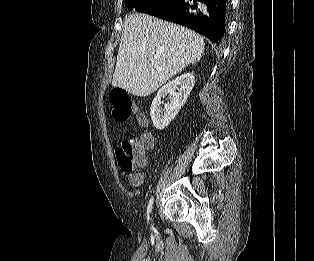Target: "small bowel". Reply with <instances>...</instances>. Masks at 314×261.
I'll use <instances>...</instances> for the list:
<instances>
[{
  "label": "small bowel",
  "mask_w": 314,
  "mask_h": 261,
  "mask_svg": "<svg viewBox=\"0 0 314 261\" xmlns=\"http://www.w3.org/2000/svg\"><path fill=\"white\" fill-rule=\"evenodd\" d=\"M142 122L143 123H145V120L144 119H142ZM147 157H146V153L142 156V158H141V163H140V166H139V168H144V167H146V165H147Z\"/></svg>",
  "instance_id": "1"
}]
</instances>
